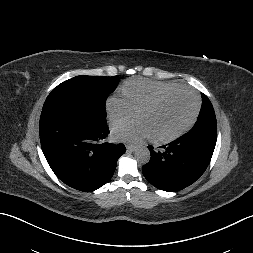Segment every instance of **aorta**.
<instances>
[{
  "label": "aorta",
  "instance_id": "762f6f07",
  "mask_svg": "<svg viewBox=\"0 0 253 253\" xmlns=\"http://www.w3.org/2000/svg\"><path fill=\"white\" fill-rule=\"evenodd\" d=\"M135 158L136 160L141 163V164H146L150 160V151L147 147L145 146H138L135 149Z\"/></svg>",
  "mask_w": 253,
  "mask_h": 253
}]
</instances>
